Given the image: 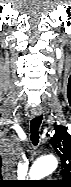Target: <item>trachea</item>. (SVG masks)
<instances>
[{
	"mask_svg": "<svg viewBox=\"0 0 71 187\" xmlns=\"http://www.w3.org/2000/svg\"><path fill=\"white\" fill-rule=\"evenodd\" d=\"M42 122V116H37L31 120V141L33 145L39 143V127Z\"/></svg>",
	"mask_w": 71,
	"mask_h": 187,
	"instance_id": "obj_1",
	"label": "trachea"
}]
</instances>
